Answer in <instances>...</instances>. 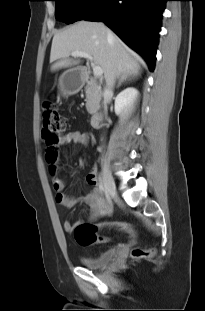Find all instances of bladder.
Here are the masks:
<instances>
[{"instance_id":"bladder-1","label":"bladder","mask_w":205,"mask_h":311,"mask_svg":"<svg viewBox=\"0 0 205 311\" xmlns=\"http://www.w3.org/2000/svg\"><path fill=\"white\" fill-rule=\"evenodd\" d=\"M118 255V248L112 247L108 248L94 256H90L87 254H82L80 256V262L83 266H85L88 269L96 270V269H102L115 261L116 257Z\"/></svg>"}]
</instances>
